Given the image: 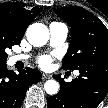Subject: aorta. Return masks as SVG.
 Returning a JSON list of instances; mask_svg holds the SVG:
<instances>
[{
    "mask_svg": "<svg viewBox=\"0 0 108 108\" xmlns=\"http://www.w3.org/2000/svg\"><path fill=\"white\" fill-rule=\"evenodd\" d=\"M26 37L31 45L41 47L49 40V30L42 23H34L27 28ZM59 87V83L56 80H47L44 84L45 91L50 95L57 94Z\"/></svg>",
    "mask_w": 108,
    "mask_h": 108,
    "instance_id": "1",
    "label": "aorta"
}]
</instances>
